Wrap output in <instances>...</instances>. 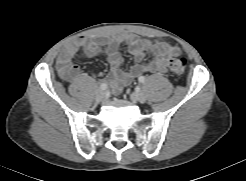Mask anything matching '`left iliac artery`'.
<instances>
[{
    "label": "left iliac artery",
    "mask_w": 246,
    "mask_h": 181,
    "mask_svg": "<svg viewBox=\"0 0 246 181\" xmlns=\"http://www.w3.org/2000/svg\"><path fill=\"white\" fill-rule=\"evenodd\" d=\"M138 81H139L140 83H145V81H146L145 76H140V77L138 78Z\"/></svg>",
    "instance_id": "obj_1"
}]
</instances>
